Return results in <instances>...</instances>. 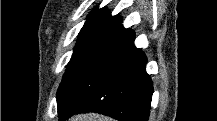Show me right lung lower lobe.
Instances as JSON below:
<instances>
[{
  "instance_id": "98d812e1",
  "label": "right lung lower lobe",
  "mask_w": 217,
  "mask_h": 121,
  "mask_svg": "<svg viewBox=\"0 0 217 121\" xmlns=\"http://www.w3.org/2000/svg\"><path fill=\"white\" fill-rule=\"evenodd\" d=\"M131 29L103 51L90 68L57 96L60 121L97 112L119 121H148L153 85L146 72L147 59L134 46Z\"/></svg>"
}]
</instances>
